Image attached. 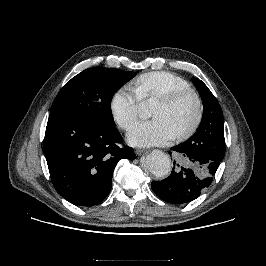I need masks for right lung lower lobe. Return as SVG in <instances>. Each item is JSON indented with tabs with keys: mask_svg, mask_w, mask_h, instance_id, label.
<instances>
[{
	"mask_svg": "<svg viewBox=\"0 0 266 266\" xmlns=\"http://www.w3.org/2000/svg\"><path fill=\"white\" fill-rule=\"evenodd\" d=\"M121 140L114 126L51 114L43 152L56 191L77 206L99 204L111 190L118 161L136 158L132 148L118 146Z\"/></svg>",
	"mask_w": 266,
	"mask_h": 266,
	"instance_id": "right-lung-lower-lobe-1",
	"label": "right lung lower lobe"
}]
</instances>
